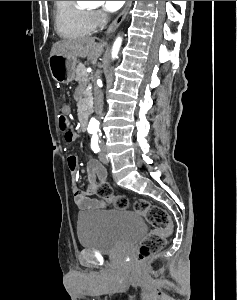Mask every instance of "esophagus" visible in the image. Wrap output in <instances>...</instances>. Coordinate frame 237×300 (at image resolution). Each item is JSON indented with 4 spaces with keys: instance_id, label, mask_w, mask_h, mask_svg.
Returning <instances> with one entry per match:
<instances>
[{
    "instance_id": "34e87169",
    "label": "esophagus",
    "mask_w": 237,
    "mask_h": 300,
    "mask_svg": "<svg viewBox=\"0 0 237 300\" xmlns=\"http://www.w3.org/2000/svg\"><path fill=\"white\" fill-rule=\"evenodd\" d=\"M131 3H132V1H126L123 10L117 16V18L113 21V23L110 24V26L108 27V29L106 31V34L113 33L118 28V26L122 23V21L125 19L126 15L128 14Z\"/></svg>"
}]
</instances>
